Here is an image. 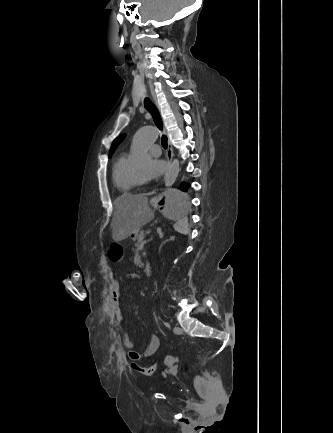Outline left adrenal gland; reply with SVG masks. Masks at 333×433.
Listing matches in <instances>:
<instances>
[{"mask_svg": "<svg viewBox=\"0 0 333 433\" xmlns=\"http://www.w3.org/2000/svg\"><path fill=\"white\" fill-rule=\"evenodd\" d=\"M170 240H174V237L171 236L169 239L165 240L164 242H162V244L160 245L159 248H161L163 246V244H165L166 242L170 241Z\"/></svg>", "mask_w": 333, "mask_h": 433, "instance_id": "obj_1", "label": "left adrenal gland"}]
</instances>
